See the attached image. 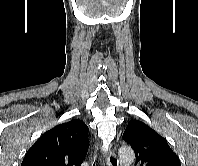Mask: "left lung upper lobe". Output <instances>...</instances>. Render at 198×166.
Returning <instances> with one entry per match:
<instances>
[{
  "label": "left lung upper lobe",
  "instance_id": "1",
  "mask_svg": "<svg viewBox=\"0 0 198 166\" xmlns=\"http://www.w3.org/2000/svg\"><path fill=\"white\" fill-rule=\"evenodd\" d=\"M123 138L134 150L137 166H181L166 139L141 121H130Z\"/></svg>",
  "mask_w": 198,
  "mask_h": 166
}]
</instances>
